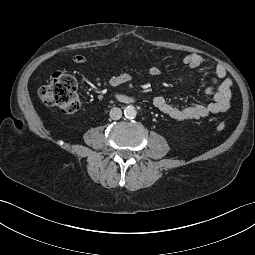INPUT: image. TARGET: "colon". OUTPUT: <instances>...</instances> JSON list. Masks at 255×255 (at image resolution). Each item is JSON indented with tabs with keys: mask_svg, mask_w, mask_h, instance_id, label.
<instances>
[{
	"mask_svg": "<svg viewBox=\"0 0 255 255\" xmlns=\"http://www.w3.org/2000/svg\"><path fill=\"white\" fill-rule=\"evenodd\" d=\"M76 87L77 82L72 76L63 71H56L49 83L39 89L38 96L45 105L56 107L65 114H72L79 108ZM216 127L223 131L226 125L219 122Z\"/></svg>",
	"mask_w": 255,
	"mask_h": 255,
	"instance_id": "obj_1",
	"label": "colon"
}]
</instances>
